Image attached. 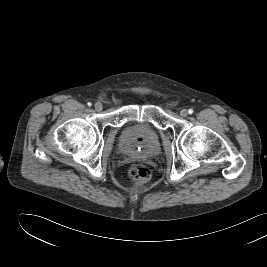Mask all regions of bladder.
<instances>
[{"label":"bladder","instance_id":"bladder-1","mask_svg":"<svg viewBox=\"0 0 267 267\" xmlns=\"http://www.w3.org/2000/svg\"><path fill=\"white\" fill-rule=\"evenodd\" d=\"M121 153L154 158L161 151L158 131L148 122H132L123 126L118 142Z\"/></svg>","mask_w":267,"mask_h":267}]
</instances>
